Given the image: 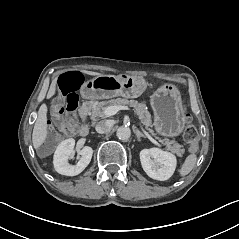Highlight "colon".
Here are the masks:
<instances>
[{
	"label": "colon",
	"instance_id": "colon-1",
	"mask_svg": "<svg viewBox=\"0 0 239 239\" xmlns=\"http://www.w3.org/2000/svg\"><path fill=\"white\" fill-rule=\"evenodd\" d=\"M82 82V76L75 72L66 73L59 79L57 89L60 100L53 107L54 120L49 127L53 136L57 137L59 132L64 135L75 133L79 107L77 90ZM185 122L184 139L188 145V150L195 152L198 148V131L192 124V118L189 114L185 115Z\"/></svg>",
	"mask_w": 239,
	"mask_h": 239
}]
</instances>
